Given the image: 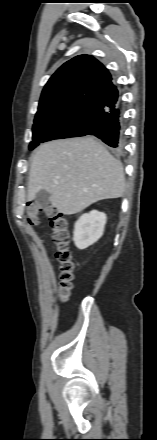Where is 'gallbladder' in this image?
Instances as JSON below:
<instances>
[{"label":"gallbladder","mask_w":157,"mask_h":440,"mask_svg":"<svg viewBox=\"0 0 157 440\" xmlns=\"http://www.w3.org/2000/svg\"><path fill=\"white\" fill-rule=\"evenodd\" d=\"M35 201L40 208L47 209L50 202V194L46 190H41L36 194Z\"/></svg>","instance_id":"1"}]
</instances>
